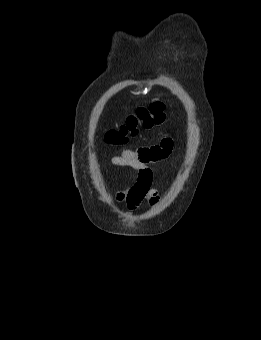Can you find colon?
I'll return each mask as SVG.
<instances>
[{
	"instance_id": "5ec220e1",
	"label": "colon",
	"mask_w": 261,
	"mask_h": 340,
	"mask_svg": "<svg viewBox=\"0 0 261 340\" xmlns=\"http://www.w3.org/2000/svg\"><path fill=\"white\" fill-rule=\"evenodd\" d=\"M165 120V106L162 103H154L149 107L139 108L129 115L124 124L110 130L106 134V142L110 144H123L129 137L135 136L141 127L149 129L159 125Z\"/></svg>"
}]
</instances>
